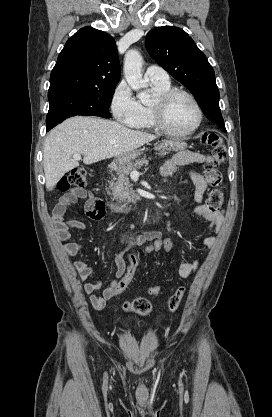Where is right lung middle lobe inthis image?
Returning <instances> with one entry per match:
<instances>
[{
	"mask_svg": "<svg viewBox=\"0 0 272 417\" xmlns=\"http://www.w3.org/2000/svg\"><path fill=\"white\" fill-rule=\"evenodd\" d=\"M114 89L106 90H61L48 93L50 102L46 117L47 131L66 118L76 115L110 118Z\"/></svg>",
	"mask_w": 272,
	"mask_h": 417,
	"instance_id": "1",
	"label": "right lung middle lobe"
}]
</instances>
